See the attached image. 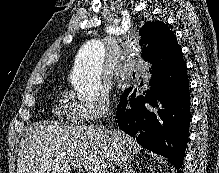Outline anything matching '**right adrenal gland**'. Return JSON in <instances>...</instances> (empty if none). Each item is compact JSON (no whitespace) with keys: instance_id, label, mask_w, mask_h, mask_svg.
Listing matches in <instances>:
<instances>
[{"instance_id":"right-adrenal-gland-1","label":"right adrenal gland","mask_w":219,"mask_h":173,"mask_svg":"<svg viewBox=\"0 0 219 173\" xmlns=\"http://www.w3.org/2000/svg\"><path fill=\"white\" fill-rule=\"evenodd\" d=\"M123 173H135L134 169L131 168V162L123 167Z\"/></svg>"}]
</instances>
